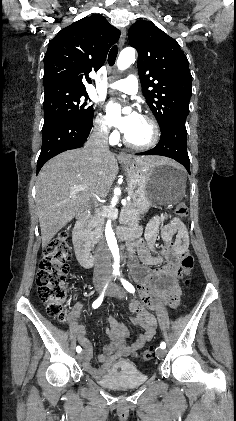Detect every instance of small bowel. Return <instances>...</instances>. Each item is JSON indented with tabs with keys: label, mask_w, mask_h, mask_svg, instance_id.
I'll list each match as a JSON object with an SVG mask.
<instances>
[{
	"label": "small bowel",
	"mask_w": 236,
	"mask_h": 421,
	"mask_svg": "<svg viewBox=\"0 0 236 421\" xmlns=\"http://www.w3.org/2000/svg\"><path fill=\"white\" fill-rule=\"evenodd\" d=\"M162 218L163 217H155L154 219H152L147 224V226L145 228V237H146V240L149 243H153L155 241L156 237L158 236L159 227H160V223H161ZM134 228H136L140 233L142 232V227L135 226ZM174 236H177L176 246L178 248L179 254L182 255L187 250V247H188V233H187V229L184 226V224L176 217L171 218L170 222L168 224H166L162 229V237L165 240H171ZM133 306H134V308L138 307L137 304H134ZM74 310H75L76 314L79 313L80 310H81V305L77 304L75 306ZM142 315L144 316V318L146 319L147 324H148V337L145 340V341H147V340L151 339L152 335L155 332V321L149 314H147L145 312H143ZM110 325H111V329H119V330L125 332L126 335H128L127 329L123 325L119 324L114 318H110ZM72 327L73 328L79 327L83 330V328L80 325H78L76 322L72 323ZM80 342L87 349L86 352H85V355H84V359H85L88 348L90 349L91 355H92V350H91L87 340L85 339V337H84L83 340H80ZM143 343L138 345L137 347L142 346Z\"/></svg>",
	"instance_id": "obj_1"
}]
</instances>
